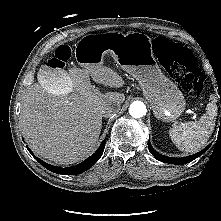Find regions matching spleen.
Here are the masks:
<instances>
[{
  "label": "spleen",
  "instance_id": "obj_1",
  "mask_svg": "<svg viewBox=\"0 0 221 221\" xmlns=\"http://www.w3.org/2000/svg\"><path fill=\"white\" fill-rule=\"evenodd\" d=\"M199 121H189L173 125L169 136L176 147L184 152L199 151L210 138L216 123L217 105L212 101Z\"/></svg>",
  "mask_w": 221,
  "mask_h": 221
}]
</instances>
